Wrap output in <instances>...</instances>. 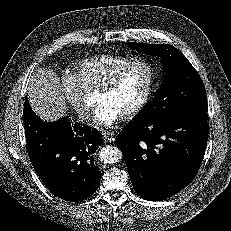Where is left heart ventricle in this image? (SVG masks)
I'll list each match as a JSON object with an SVG mask.
<instances>
[{
	"mask_svg": "<svg viewBox=\"0 0 231 231\" xmlns=\"http://www.w3.org/2000/svg\"><path fill=\"white\" fill-rule=\"evenodd\" d=\"M149 81L148 69L142 65L136 66L127 72L112 92L100 95L98 100L107 103L123 116L142 99Z\"/></svg>",
	"mask_w": 231,
	"mask_h": 231,
	"instance_id": "1",
	"label": "left heart ventricle"
}]
</instances>
